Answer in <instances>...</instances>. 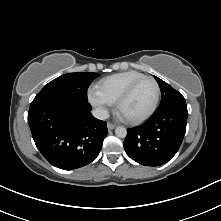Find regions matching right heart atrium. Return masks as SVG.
<instances>
[{"label": "right heart atrium", "mask_w": 221, "mask_h": 221, "mask_svg": "<svg viewBox=\"0 0 221 221\" xmlns=\"http://www.w3.org/2000/svg\"><path fill=\"white\" fill-rule=\"evenodd\" d=\"M88 99L90 103L96 107L102 114H106L108 111L109 103L106 99H104L97 91L90 90L88 92Z\"/></svg>", "instance_id": "obj_1"}]
</instances>
